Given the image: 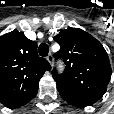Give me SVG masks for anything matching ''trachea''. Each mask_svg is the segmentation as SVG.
Returning a JSON list of instances; mask_svg holds the SVG:
<instances>
[{
	"label": "trachea",
	"instance_id": "3493384b",
	"mask_svg": "<svg viewBox=\"0 0 114 114\" xmlns=\"http://www.w3.org/2000/svg\"><path fill=\"white\" fill-rule=\"evenodd\" d=\"M38 52L40 54V56L45 57L48 55L49 52V47L46 43H42L39 48H38Z\"/></svg>",
	"mask_w": 114,
	"mask_h": 114
}]
</instances>
